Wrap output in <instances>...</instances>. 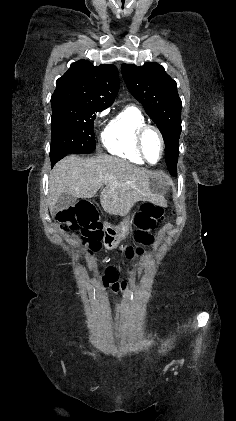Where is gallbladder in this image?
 <instances>
[{
    "mask_svg": "<svg viewBox=\"0 0 236 421\" xmlns=\"http://www.w3.org/2000/svg\"><path fill=\"white\" fill-rule=\"evenodd\" d=\"M77 200V196H72V194H61V196H58L57 202L54 206V215L56 213H59V211H64V208H69V206H72V204H75Z\"/></svg>",
    "mask_w": 236,
    "mask_h": 421,
    "instance_id": "obj_1",
    "label": "gallbladder"
}]
</instances>
